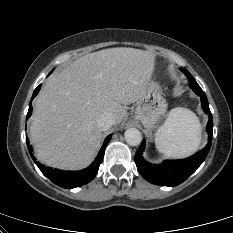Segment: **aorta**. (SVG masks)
Segmentation results:
<instances>
[{
  "mask_svg": "<svg viewBox=\"0 0 233 233\" xmlns=\"http://www.w3.org/2000/svg\"><path fill=\"white\" fill-rule=\"evenodd\" d=\"M125 140L131 146H137L141 143L142 135L136 128H129L125 131Z\"/></svg>",
  "mask_w": 233,
  "mask_h": 233,
  "instance_id": "obj_1",
  "label": "aorta"
}]
</instances>
